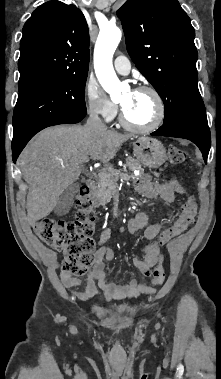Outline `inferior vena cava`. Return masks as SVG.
Here are the masks:
<instances>
[{
    "label": "inferior vena cava",
    "instance_id": "1",
    "mask_svg": "<svg viewBox=\"0 0 221 379\" xmlns=\"http://www.w3.org/2000/svg\"><path fill=\"white\" fill-rule=\"evenodd\" d=\"M86 127L94 130H106V125L101 121L98 112L96 110H91L89 118L86 123Z\"/></svg>",
    "mask_w": 221,
    "mask_h": 379
}]
</instances>
